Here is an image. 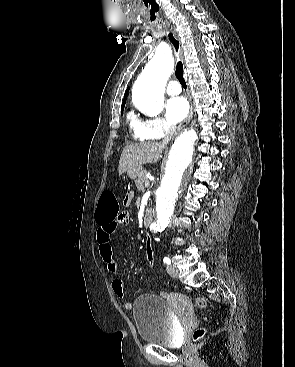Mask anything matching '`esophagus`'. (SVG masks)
Wrapping results in <instances>:
<instances>
[{"mask_svg": "<svg viewBox=\"0 0 295 367\" xmlns=\"http://www.w3.org/2000/svg\"><path fill=\"white\" fill-rule=\"evenodd\" d=\"M172 33L173 35L175 36V38L178 40L179 44H180V47H179V57L181 60H183L184 56H183V48H182V45H181V39H180V36L177 32L176 29H172ZM192 116H193V107L191 106V109H190V112L187 116V118L184 120V122L178 127V130L177 132H179L184 126H186L190 120L192 119Z\"/></svg>", "mask_w": 295, "mask_h": 367, "instance_id": "1", "label": "esophagus"}]
</instances>
